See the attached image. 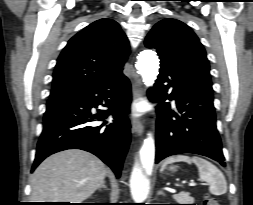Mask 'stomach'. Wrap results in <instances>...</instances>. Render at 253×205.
<instances>
[{
    "mask_svg": "<svg viewBox=\"0 0 253 205\" xmlns=\"http://www.w3.org/2000/svg\"><path fill=\"white\" fill-rule=\"evenodd\" d=\"M170 169H171V170H174L175 168H174V167H171Z\"/></svg>",
    "mask_w": 253,
    "mask_h": 205,
    "instance_id": "1",
    "label": "stomach"
}]
</instances>
